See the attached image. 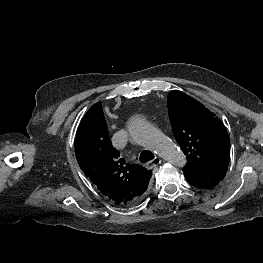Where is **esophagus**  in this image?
<instances>
[{
  "mask_svg": "<svg viewBox=\"0 0 263 263\" xmlns=\"http://www.w3.org/2000/svg\"><path fill=\"white\" fill-rule=\"evenodd\" d=\"M161 163V159L159 157H155L153 160L147 163L146 167L148 169H153Z\"/></svg>",
  "mask_w": 263,
  "mask_h": 263,
  "instance_id": "1",
  "label": "esophagus"
}]
</instances>
